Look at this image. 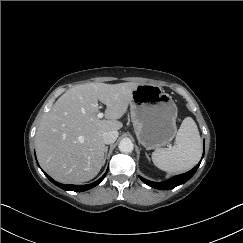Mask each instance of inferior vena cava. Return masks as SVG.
<instances>
[{"label":"inferior vena cava","mask_w":243,"mask_h":243,"mask_svg":"<svg viewBox=\"0 0 243 243\" xmlns=\"http://www.w3.org/2000/svg\"><path fill=\"white\" fill-rule=\"evenodd\" d=\"M118 137L117 131H107L103 133V141L105 144H112Z\"/></svg>","instance_id":"602c4592"}]
</instances>
